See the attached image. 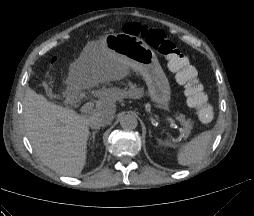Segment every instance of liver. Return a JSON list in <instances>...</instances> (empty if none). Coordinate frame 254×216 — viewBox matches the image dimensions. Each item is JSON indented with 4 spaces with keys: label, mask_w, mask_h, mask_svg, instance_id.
<instances>
[{
    "label": "liver",
    "mask_w": 254,
    "mask_h": 216,
    "mask_svg": "<svg viewBox=\"0 0 254 216\" xmlns=\"http://www.w3.org/2000/svg\"><path fill=\"white\" fill-rule=\"evenodd\" d=\"M87 47L81 53L85 54ZM129 74V68L118 56L109 57L104 66L90 71L70 67L68 80L81 88H92L100 83L121 80ZM96 107L87 115L58 106L43 95L28 88L23 101L24 124L27 137L40 158L50 169L66 176H78L87 157L89 117L100 114L112 121L116 114V90H102Z\"/></svg>",
    "instance_id": "obj_1"
}]
</instances>
